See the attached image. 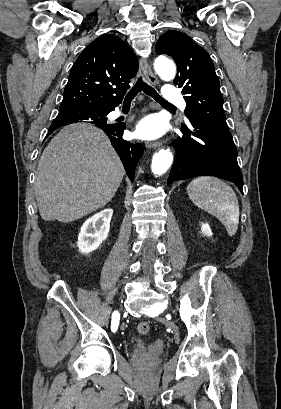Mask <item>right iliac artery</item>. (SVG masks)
I'll return each instance as SVG.
<instances>
[{"mask_svg": "<svg viewBox=\"0 0 281 409\" xmlns=\"http://www.w3.org/2000/svg\"><path fill=\"white\" fill-rule=\"evenodd\" d=\"M119 313L118 312H114L112 315V322H111V330L113 332H115L118 328V324H119Z\"/></svg>", "mask_w": 281, "mask_h": 409, "instance_id": "obj_1", "label": "right iliac artery"}]
</instances>
